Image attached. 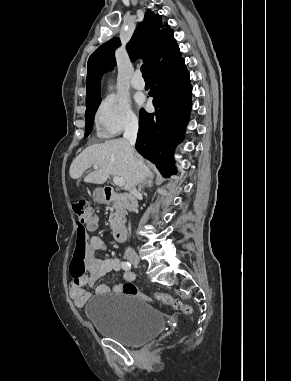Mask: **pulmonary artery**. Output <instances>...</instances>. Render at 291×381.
<instances>
[{
  "instance_id": "1",
  "label": "pulmonary artery",
  "mask_w": 291,
  "mask_h": 381,
  "mask_svg": "<svg viewBox=\"0 0 291 381\" xmlns=\"http://www.w3.org/2000/svg\"><path fill=\"white\" fill-rule=\"evenodd\" d=\"M131 85L133 88L137 90H143L145 88V82L139 71L135 72V74L133 75V78L131 80Z\"/></svg>"
}]
</instances>
